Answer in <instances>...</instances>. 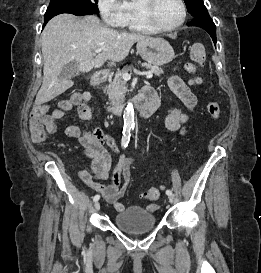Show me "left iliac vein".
Segmentation results:
<instances>
[{
	"mask_svg": "<svg viewBox=\"0 0 261 273\" xmlns=\"http://www.w3.org/2000/svg\"><path fill=\"white\" fill-rule=\"evenodd\" d=\"M168 199L170 203L174 202V196L173 195H168Z\"/></svg>",
	"mask_w": 261,
	"mask_h": 273,
	"instance_id": "4c4485c4",
	"label": "left iliac vein"
}]
</instances>
